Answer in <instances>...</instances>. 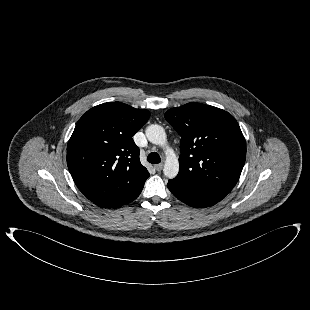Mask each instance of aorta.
Masks as SVG:
<instances>
[{"mask_svg":"<svg viewBox=\"0 0 310 310\" xmlns=\"http://www.w3.org/2000/svg\"><path fill=\"white\" fill-rule=\"evenodd\" d=\"M147 139L155 145L166 146L167 136L162 126L158 124L149 125L146 130ZM179 172V162L174 151L166 147V161L163 169L164 175L169 178H175Z\"/></svg>","mask_w":310,"mask_h":310,"instance_id":"762f6f07","label":"aorta"}]
</instances>
